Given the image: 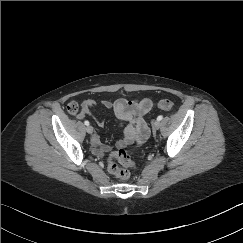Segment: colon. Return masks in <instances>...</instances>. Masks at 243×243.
<instances>
[{
    "mask_svg": "<svg viewBox=\"0 0 243 243\" xmlns=\"http://www.w3.org/2000/svg\"><path fill=\"white\" fill-rule=\"evenodd\" d=\"M157 106L163 110H170L174 107V102L170 99H161L157 102ZM66 110L68 114L75 115L79 110V106L76 102H70L67 105ZM113 159H116L124 167H132L134 163L129 155L124 150L113 152L111 154L108 166L110 172H112L117 177L124 180L128 179L130 177V172L125 168H119Z\"/></svg>",
    "mask_w": 243,
    "mask_h": 243,
    "instance_id": "obj_1",
    "label": "colon"
}]
</instances>
